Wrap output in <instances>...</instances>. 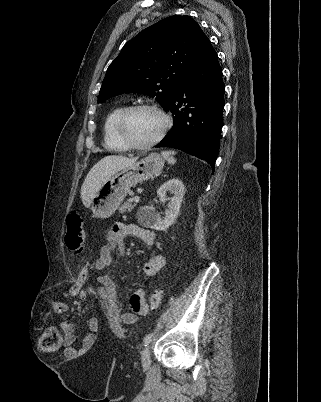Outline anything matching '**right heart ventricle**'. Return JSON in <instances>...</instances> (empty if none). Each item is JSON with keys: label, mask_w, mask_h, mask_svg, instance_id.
<instances>
[{"label": "right heart ventricle", "mask_w": 321, "mask_h": 402, "mask_svg": "<svg viewBox=\"0 0 321 402\" xmlns=\"http://www.w3.org/2000/svg\"><path fill=\"white\" fill-rule=\"evenodd\" d=\"M126 107L123 105H119L114 107L107 114L104 124H103V141L104 146L112 152L122 153L128 150V148L124 145V143L120 140L117 131H116V123L117 120L122 113V111Z\"/></svg>", "instance_id": "e07e8e85"}]
</instances>
